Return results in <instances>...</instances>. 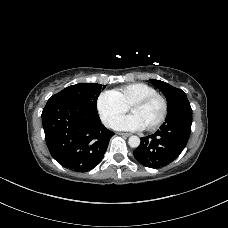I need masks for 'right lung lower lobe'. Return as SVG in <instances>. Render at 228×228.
<instances>
[{
	"label": "right lung lower lobe",
	"mask_w": 228,
	"mask_h": 228,
	"mask_svg": "<svg viewBox=\"0 0 228 228\" xmlns=\"http://www.w3.org/2000/svg\"><path fill=\"white\" fill-rule=\"evenodd\" d=\"M42 122L52 157L76 172L97 166L114 135L101 123L98 112L69 100L49 99Z\"/></svg>",
	"instance_id": "right-lung-lower-lobe-1"
}]
</instances>
